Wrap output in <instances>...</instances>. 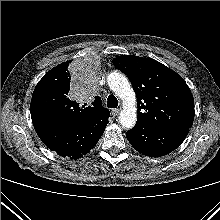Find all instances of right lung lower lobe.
Returning a JSON list of instances; mask_svg holds the SVG:
<instances>
[{"label":"right lung lower lobe","mask_w":220,"mask_h":220,"mask_svg":"<svg viewBox=\"0 0 220 220\" xmlns=\"http://www.w3.org/2000/svg\"><path fill=\"white\" fill-rule=\"evenodd\" d=\"M109 116V112L99 113L77 124H43L35 126V130L49 149L62 157L77 159L86 155L98 142Z\"/></svg>","instance_id":"right-lung-lower-lobe-1"}]
</instances>
